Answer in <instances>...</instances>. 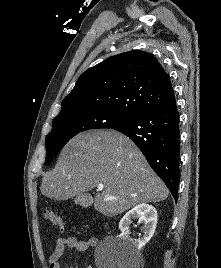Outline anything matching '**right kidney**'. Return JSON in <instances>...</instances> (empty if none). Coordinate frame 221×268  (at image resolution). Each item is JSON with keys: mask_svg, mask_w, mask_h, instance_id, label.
I'll use <instances>...</instances> for the list:
<instances>
[{"mask_svg": "<svg viewBox=\"0 0 221 268\" xmlns=\"http://www.w3.org/2000/svg\"><path fill=\"white\" fill-rule=\"evenodd\" d=\"M138 218V223H142L143 236L138 240L133 241L128 236L129 226L131 220ZM157 224V210L149 204H139L130 211H128L119 222V229L121 234L119 239L131 242L133 246L140 250L154 235Z\"/></svg>", "mask_w": 221, "mask_h": 268, "instance_id": "ca27d5eb", "label": "right kidney"}]
</instances>
